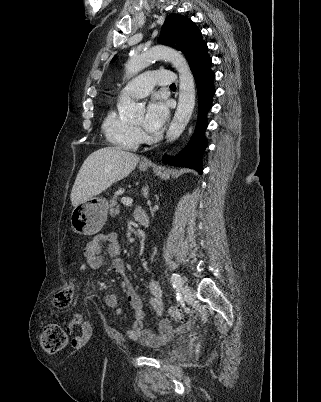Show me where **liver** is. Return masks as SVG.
<instances>
[{"label":"liver","instance_id":"6515ba94","mask_svg":"<svg viewBox=\"0 0 321 402\" xmlns=\"http://www.w3.org/2000/svg\"><path fill=\"white\" fill-rule=\"evenodd\" d=\"M139 157L118 147H104L91 153L82 164L71 191L74 207L96 196L128 176Z\"/></svg>","mask_w":321,"mask_h":402}]
</instances>
